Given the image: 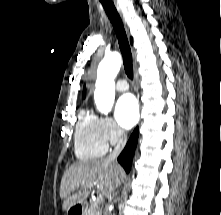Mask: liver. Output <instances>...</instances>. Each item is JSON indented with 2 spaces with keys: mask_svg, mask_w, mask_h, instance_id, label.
Instances as JSON below:
<instances>
[{
  "mask_svg": "<svg viewBox=\"0 0 221 215\" xmlns=\"http://www.w3.org/2000/svg\"><path fill=\"white\" fill-rule=\"evenodd\" d=\"M124 172L115 161L107 158L79 162L73 164L64 172L60 185V197L63 199L62 208L68 211L77 204L83 203L88 196V184H98L100 197L112 200L116 187L120 184ZM82 188L83 191L74 193Z\"/></svg>",
  "mask_w": 221,
  "mask_h": 215,
  "instance_id": "obj_1",
  "label": "liver"
}]
</instances>
